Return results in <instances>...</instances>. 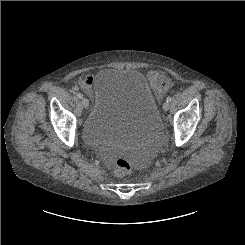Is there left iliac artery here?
<instances>
[{
    "mask_svg": "<svg viewBox=\"0 0 245 245\" xmlns=\"http://www.w3.org/2000/svg\"><path fill=\"white\" fill-rule=\"evenodd\" d=\"M167 102H171L172 101V97L171 96H168L167 99H166Z\"/></svg>",
    "mask_w": 245,
    "mask_h": 245,
    "instance_id": "44dca946",
    "label": "left iliac artery"
}]
</instances>
